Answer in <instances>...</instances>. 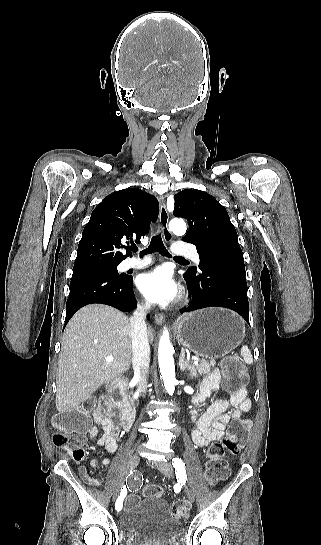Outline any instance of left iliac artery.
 I'll return each instance as SVG.
<instances>
[{
  "instance_id": "obj_1",
  "label": "left iliac artery",
  "mask_w": 321,
  "mask_h": 545,
  "mask_svg": "<svg viewBox=\"0 0 321 545\" xmlns=\"http://www.w3.org/2000/svg\"><path fill=\"white\" fill-rule=\"evenodd\" d=\"M172 465L175 468L176 477L178 480L185 482L187 479L186 476V470H185V464L184 462L179 458H174L172 460Z\"/></svg>"
}]
</instances>
